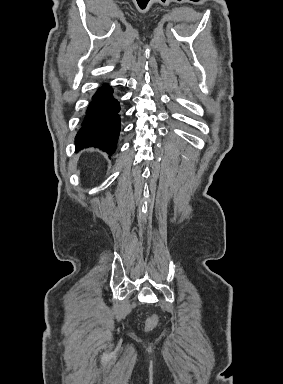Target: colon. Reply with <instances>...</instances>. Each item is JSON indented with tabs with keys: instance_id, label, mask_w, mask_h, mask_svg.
I'll use <instances>...</instances> for the list:
<instances>
[{
	"instance_id": "1",
	"label": "colon",
	"mask_w": 283,
	"mask_h": 384,
	"mask_svg": "<svg viewBox=\"0 0 283 384\" xmlns=\"http://www.w3.org/2000/svg\"><path fill=\"white\" fill-rule=\"evenodd\" d=\"M158 323V317L156 315H152L150 316L147 320H146V328L148 330H151L153 329L154 327H156Z\"/></svg>"
}]
</instances>
